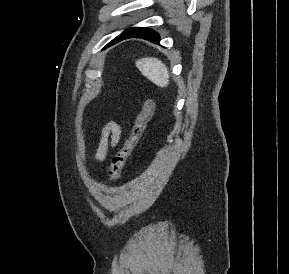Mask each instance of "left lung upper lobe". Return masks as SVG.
Instances as JSON below:
<instances>
[{"instance_id": "left-lung-upper-lobe-1", "label": "left lung upper lobe", "mask_w": 289, "mask_h": 274, "mask_svg": "<svg viewBox=\"0 0 289 274\" xmlns=\"http://www.w3.org/2000/svg\"><path fill=\"white\" fill-rule=\"evenodd\" d=\"M135 28H129L127 30H125L123 33H121L119 36H117L115 39H113L111 42L117 40V39H120L121 37L125 36L126 34L132 32ZM110 42V43H111Z\"/></svg>"}]
</instances>
